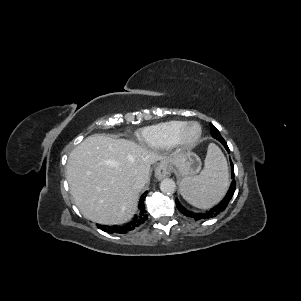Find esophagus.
<instances>
[{
	"label": "esophagus",
	"instance_id": "esophagus-1",
	"mask_svg": "<svg viewBox=\"0 0 301 301\" xmlns=\"http://www.w3.org/2000/svg\"><path fill=\"white\" fill-rule=\"evenodd\" d=\"M155 175L158 179L171 176V169L167 162L162 161L158 164L155 170Z\"/></svg>",
	"mask_w": 301,
	"mask_h": 301
}]
</instances>
